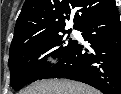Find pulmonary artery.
Returning <instances> with one entry per match:
<instances>
[{
	"label": "pulmonary artery",
	"instance_id": "e3ab8cb5",
	"mask_svg": "<svg viewBox=\"0 0 121 94\" xmlns=\"http://www.w3.org/2000/svg\"><path fill=\"white\" fill-rule=\"evenodd\" d=\"M73 33H77V31L76 30H73Z\"/></svg>",
	"mask_w": 121,
	"mask_h": 94
}]
</instances>
